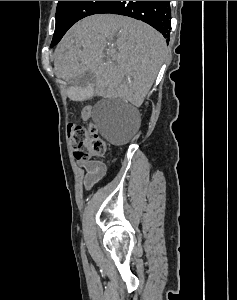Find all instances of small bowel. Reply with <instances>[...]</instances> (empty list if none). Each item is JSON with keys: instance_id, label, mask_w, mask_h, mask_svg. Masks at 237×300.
Wrapping results in <instances>:
<instances>
[{"instance_id": "1", "label": "small bowel", "mask_w": 237, "mask_h": 300, "mask_svg": "<svg viewBox=\"0 0 237 300\" xmlns=\"http://www.w3.org/2000/svg\"><path fill=\"white\" fill-rule=\"evenodd\" d=\"M91 117V108L85 107L82 111V118L88 120ZM79 166L84 170L83 185L85 189H91L100 182L106 175V166L100 161L79 160Z\"/></svg>"}]
</instances>
